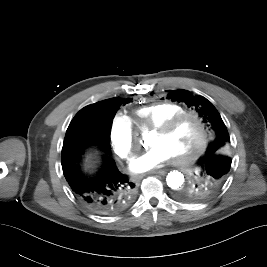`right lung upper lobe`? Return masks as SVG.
Wrapping results in <instances>:
<instances>
[{"label": "right lung upper lobe", "instance_id": "right-lung-upper-lobe-1", "mask_svg": "<svg viewBox=\"0 0 267 267\" xmlns=\"http://www.w3.org/2000/svg\"><path fill=\"white\" fill-rule=\"evenodd\" d=\"M130 99H120V98H111V99H107L89 106L84 107L83 109H81L77 115L74 118H77L79 116H81L83 113L85 112H97V113H101L103 110V107L110 103V102H123V103H127ZM107 125V124H106Z\"/></svg>", "mask_w": 267, "mask_h": 267}]
</instances>
